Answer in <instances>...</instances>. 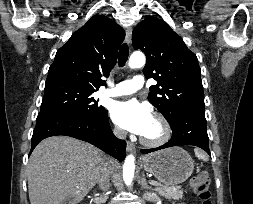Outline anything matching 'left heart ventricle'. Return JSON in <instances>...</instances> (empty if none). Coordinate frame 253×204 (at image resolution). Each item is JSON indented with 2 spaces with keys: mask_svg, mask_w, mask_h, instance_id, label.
Masks as SVG:
<instances>
[{
  "mask_svg": "<svg viewBox=\"0 0 253 204\" xmlns=\"http://www.w3.org/2000/svg\"><path fill=\"white\" fill-rule=\"evenodd\" d=\"M161 133H162L161 126L157 121L153 119V121L148 126L147 130L144 132L142 136L147 139L154 140L159 138Z\"/></svg>",
  "mask_w": 253,
  "mask_h": 204,
  "instance_id": "1",
  "label": "left heart ventricle"
}]
</instances>
